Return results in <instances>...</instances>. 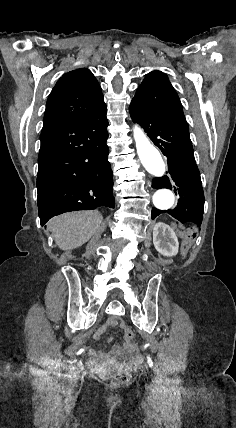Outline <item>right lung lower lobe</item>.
<instances>
[{"mask_svg":"<svg viewBox=\"0 0 236 428\" xmlns=\"http://www.w3.org/2000/svg\"><path fill=\"white\" fill-rule=\"evenodd\" d=\"M106 113L41 132L37 189L42 226L65 212L115 207Z\"/></svg>","mask_w":236,"mask_h":428,"instance_id":"98d812e1","label":"right lung lower lobe"}]
</instances>
